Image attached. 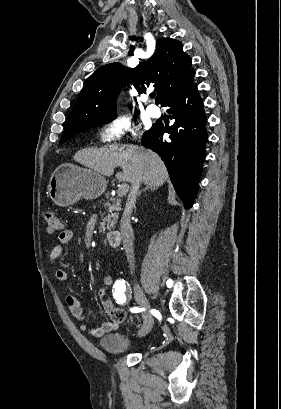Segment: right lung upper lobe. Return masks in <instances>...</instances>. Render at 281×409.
<instances>
[{
    "mask_svg": "<svg viewBox=\"0 0 281 409\" xmlns=\"http://www.w3.org/2000/svg\"><path fill=\"white\" fill-rule=\"evenodd\" d=\"M182 49L181 42L160 38L153 56L135 68L110 63L97 69L81 90L65 128L86 126L116 115V99L121 84L128 77L139 93L149 86L155 87L156 103L163 104L192 73L191 58Z\"/></svg>",
    "mask_w": 281,
    "mask_h": 409,
    "instance_id": "obj_1",
    "label": "right lung upper lobe"
}]
</instances>
